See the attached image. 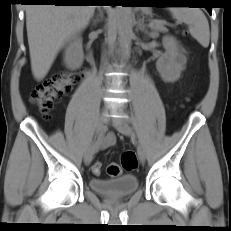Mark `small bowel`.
<instances>
[{
	"instance_id": "small-bowel-1",
	"label": "small bowel",
	"mask_w": 231,
	"mask_h": 231,
	"mask_svg": "<svg viewBox=\"0 0 231 231\" xmlns=\"http://www.w3.org/2000/svg\"><path fill=\"white\" fill-rule=\"evenodd\" d=\"M115 142V136L112 133H108L103 137L102 141L98 145V149H107L112 146Z\"/></svg>"
}]
</instances>
